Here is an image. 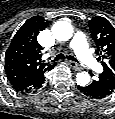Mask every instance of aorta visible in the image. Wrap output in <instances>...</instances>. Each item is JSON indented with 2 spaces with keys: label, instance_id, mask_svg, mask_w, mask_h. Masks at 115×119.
I'll list each match as a JSON object with an SVG mask.
<instances>
[{
  "label": "aorta",
  "instance_id": "obj_1",
  "mask_svg": "<svg viewBox=\"0 0 115 119\" xmlns=\"http://www.w3.org/2000/svg\"><path fill=\"white\" fill-rule=\"evenodd\" d=\"M53 35L59 41H67L73 36V27L68 22H57L52 28ZM76 81L79 86H85L90 82L87 72L77 73Z\"/></svg>",
  "mask_w": 115,
  "mask_h": 119
}]
</instances>
